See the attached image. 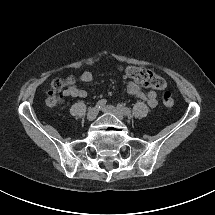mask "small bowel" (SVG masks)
I'll return each instance as SVG.
<instances>
[{
    "instance_id": "c3829d8e",
    "label": "small bowel",
    "mask_w": 215,
    "mask_h": 215,
    "mask_svg": "<svg viewBox=\"0 0 215 215\" xmlns=\"http://www.w3.org/2000/svg\"><path fill=\"white\" fill-rule=\"evenodd\" d=\"M93 79V75L89 71H85L79 76V81L83 83H91ZM127 92L134 97L142 99L152 108L157 106V94L153 90L144 93L137 83L131 81L127 84ZM63 93L65 96L73 98H84L87 95L85 90L75 85L65 88Z\"/></svg>"
}]
</instances>
